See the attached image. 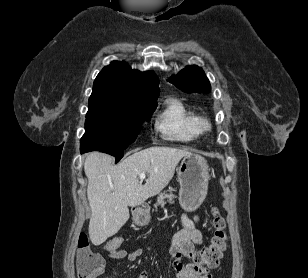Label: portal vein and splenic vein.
Instances as JSON below:
<instances>
[{"instance_id":"obj_1","label":"portal vein and splenic vein","mask_w":308,"mask_h":278,"mask_svg":"<svg viewBox=\"0 0 308 278\" xmlns=\"http://www.w3.org/2000/svg\"><path fill=\"white\" fill-rule=\"evenodd\" d=\"M140 179H145L146 178V173H140L139 174Z\"/></svg>"}]
</instances>
